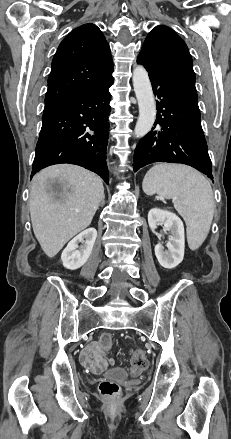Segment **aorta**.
Returning a JSON list of instances; mask_svg holds the SVG:
<instances>
[{"label": "aorta", "instance_id": "aorta-1", "mask_svg": "<svg viewBox=\"0 0 231 439\" xmlns=\"http://www.w3.org/2000/svg\"><path fill=\"white\" fill-rule=\"evenodd\" d=\"M133 86L138 100L139 117L135 126L137 138L145 136L151 129L156 118V104L147 71L137 66L133 71Z\"/></svg>", "mask_w": 231, "mask_h": 439}]
</instances>
